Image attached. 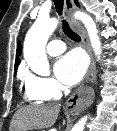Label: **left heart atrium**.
<instances>
[{
    "mask_svg": "<svg viewBox=\"0 0 117 131\" xmlns=\"http://www.w3.org/2000/svg\"><path fill=\"white\" fill-rule=\"evenodd\" d=\"M86 67L85 56L80 51L74 50L61 57L56 62L54 70L57 78L63 84L72 86L82 79Z\"/></svg>",
    "mask_w": 117,
    "mask_h": 131,
    "instance_id": "left-heart-atrium-1",
    "label": "left heart atrium"
}]
</instances>
